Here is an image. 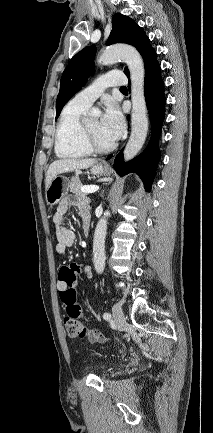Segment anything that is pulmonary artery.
Wrapping results in <instances>:
<instances>
[{
	"instance_id": "pulmonary-artery-1",
	"label": "pulmonary artery",
	"mask_w": 213,
	"mask_h": 433,
	"mask_svg": "<svg viewBox=\"0 0 213 433\" xmlns=\"http://www.w3.org/2000/svg\"><path fill=\"white\" fill-rule=\"evenodd\" d=\"M126 84L127 78L122 72L110 71L97 78L90 86L78 92L71 102L87 109L107 87H121Z\"/></svg>"
}]
</instances>
